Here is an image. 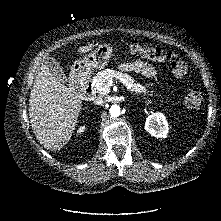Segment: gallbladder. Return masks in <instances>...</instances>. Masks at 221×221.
Here are the masks:
<instances>
[{"label":"gallbladder","instance_id":"1","mask_svg":"<svg viewBox=\"0 0 221 221\" xmlns=\"http://www.w3.org/2000/svg\"><path fill=\"white\" fill-rule=\"evenodd\" d=\"M45 64L47 65L49 70L55 75V77L61 83H66L67 82V77L64 74L61 66L59 65V63L53 57H48L45 61Z\"/></svg>","mask_w":221,"mask_h":221}]
</instances>
